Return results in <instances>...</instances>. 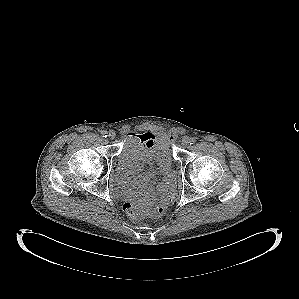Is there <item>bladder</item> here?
<instances>
[{
	"instance_id": "bladder-1",
	"label": "bladder",
	"mask_w": 299,
	"mask_h": 299,
	"mask_svg": "<svg viewBox=\"0 0 299 299\" xmlns=\"http://www.w3.org/2000/svg\"><path fill=\"white\" fill-rule=\"evenodd\" d=\"M142 154L158 164H166L173 174L174 158L171 143L165 134H157L148 147L136 137H127L113 165V177L117 183L124 182L136 173L133 163Z\"/></svg>"
}]
</instances>
